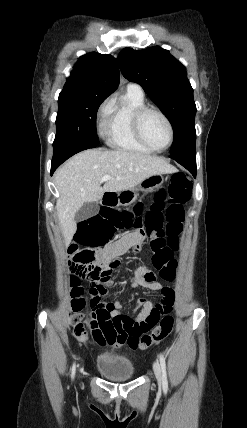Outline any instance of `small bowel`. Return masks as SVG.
Masks as SVG:
<instances>
[{"label": "small bowel", "mask_w": 247, "mask_h": 428, "mask_svg": "<svg viewBox=\"0 0 247 428\" xmlns=\"http://www.w3.org/2000/svg\"><path fill=\"white\" fill-rule=\"evenodd\" d=\"M144 240V233L141 231H135L133 233L127 234L118 241L112 243L102 251H100L99 256L103 263L109 264L114 261L118 260V257L126 253L129 249L137 248L142 241ZM114 267L112 271L115 269ZM156 276L155 274L149 269L146 265H140L135 273L134 276L130 282L131 288H149L152 290H158L162 293L164 299H172L174 298L173 290L169 287L163 286L161 283L155 281ZM114 285V280L112 278V273L110 280L106 283L107 287H112ZM90 293L92 295V301L94 302L96 300L95 296L92 294V291L90 289ZM139 300H147L144 298H141ZM101 302L108 305L109 308V314L113 317H121L125 319L134 318L137 320L139 317H151L152 307L146 308L145 305L136 306L134 309V312L138 309L140 311L137 313L135 317H132L131 315L127 313H123V303L120 298H117L114 302L107 303L100 299ZM150 301V300H149ZM155 305V304H153ZM152 305V306H153ZM76 335V334H75ZM77 339L81 342L88 341L90 337L88 334L83 335H76ZM94 340L99 343L100 345H105L107 342L101 338V340H96V338L93 336Z\"/></svg>", "instance_id": "1"}]
</instances>
